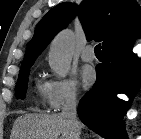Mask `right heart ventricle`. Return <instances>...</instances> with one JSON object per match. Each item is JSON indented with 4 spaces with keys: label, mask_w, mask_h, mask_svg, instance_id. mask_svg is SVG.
I'll use <instances>...</instances> for the list:
<instances>
[{
    "label": "right heart ventricle",
    "mask_w": 141,
    "mask_h": 139,
    "mask_svg": "<svg viewBox=\"0 0 141 139\" xmlns=\"http://www.w3.org/2000/svg\"><path fill=\"white\" fill-rule=\"evenodd\" d=\"M37 90H38V93L40 95H44L45 94V85H43V84H37Z\"/></svg>",
    "instance_id": "right-heart-ventricle-1"
}]
</instances>
